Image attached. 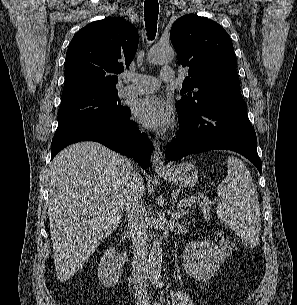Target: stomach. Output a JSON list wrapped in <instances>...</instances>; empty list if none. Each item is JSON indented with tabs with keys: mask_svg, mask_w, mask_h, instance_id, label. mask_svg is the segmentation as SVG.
<instances>
[{
	"mask_svg": "<svg viewBox=\"0 0 297 305\" xmlns=\"http://www.w3.org/2000/svg\"><path fill=\"white\" fill-rule=\"evenodd\" d=\"M158 173L165 180L179 187H193L198 181V170L187 162L178 163Z\"/></svg>",
	"mask_w": 297,
	"mask_h": 305,
	"instance_id": "1",
	"label": "stomach"
}]
</instances>
